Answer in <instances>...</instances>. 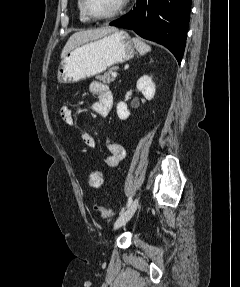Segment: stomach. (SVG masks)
I'll list each match as a JSON object with an SVG mask.
<instances>
[{
	"label": "stomach",
	"mask_w": 240,
	"mask_h": 287,
	"mask_svg": "<svg viewBox=\"0 0 240 287\" xmlns=\"http://www.w3.org/2000/svg\"><path fill=\"white\" fill-rule=\"evenodd\" d=\"M134 55L135 45L129 34L116 29L66 54L58 67L57 80L61 84L80 82L103 73L114 64L128 61Z\"/></svg>",
	"instance_id": "stomach-1"
}]
</instances>
